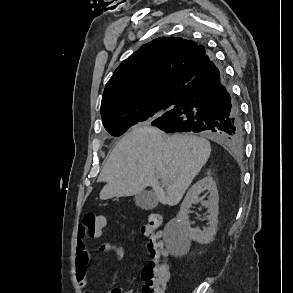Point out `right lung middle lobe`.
<instances>
[{
	"label": "right lung middle lobe",
	"instance_id": "1",
	"mask_svg": "<svg viewBox=\"0 0 293 293\" xmlns=\"http://www.w3.org/2000/svg\"><path fill=\"white\" fill-rule=\"evenodd\" d=\"M176 98L163 101L155 108L128 114L110 116L103 120L105 129L113 136L122 135L129 127L145 120H154L175 107Z\"/></svg>",
	"mask_w": 293,
	"mask_h": 293
}]
</instances>
